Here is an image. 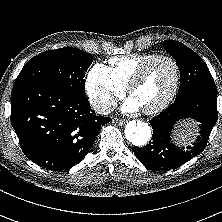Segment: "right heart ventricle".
Returning a JSON list of instances; mask_svg holds the SVG:
<instances>
[{
	"instance_id": "right-heart-ventricle-1",
	"label": "right heart ventricle",
	"mask_w": 222,
	"mask_h": 222,
	"mask_svg": "<svg viewBox=\"0 0 222 222\" xmlns=\"http://www.w3.org/2000/svg\"><path fill=\"white\" fill-rule=\"evenodd\" d=\"M155 55V53H135L124 57H115L109 60L110 70L114 78L126 87L136 70Z\"/></svg>"
}]
</instances>
